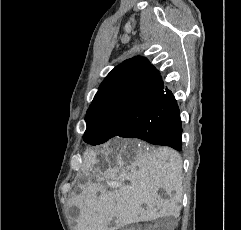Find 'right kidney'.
<instances>
[{
  "label": "right kidney",
  "instance_id": "ca27d5eb",
  "mask_svg": "<svg viewBox=\"0 0 241 230\" xmlns=\"http://www.w3.org/2000/svg\"><path fill=\"white\" fill-rule=\"evenodd\" d=\"M122 230H131V229H128V228H124V229H122Z\"/></svg>",
  "mask_w": 241,
  "mask_h": 230
}]
</instances>
